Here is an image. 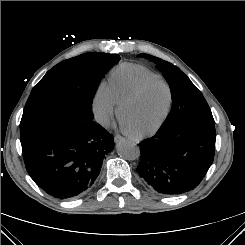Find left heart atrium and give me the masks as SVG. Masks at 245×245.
I'll return each instance as SVG.
<instances>
[{"label": "left heart atrium", "mask_w": 245, "mask_h": 245, "mask_svg": "<svg viewBox=\"0 0 245 245\" xmlns=\"http://www.w3.org/2000/svg\"><path fill=\"white\" fill-rule=\"evenodd\" d=\"M121 124L123 125V127H124L125 129H127L128 131H131V129L126 125L124 119H121Z\"/></svg>", "instance_id": "1"}]
</instances>
